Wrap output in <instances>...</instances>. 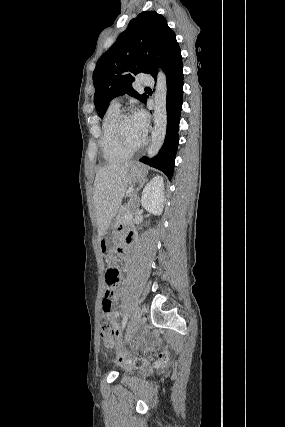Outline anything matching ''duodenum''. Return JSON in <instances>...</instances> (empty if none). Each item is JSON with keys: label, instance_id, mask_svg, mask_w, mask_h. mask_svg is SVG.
<instances>
[{"label": "duodenum", "instance_id": "duodenum-1", "mask_svg": "<svg viewBox=\"0 0 285 427\" xmlns=\"http://www.w3.org/2000/svg\"><path fill=\"white\" fill-rule=\"evenodd\" d=\"M129 249H130L129 246L125 245V244L122 245V247H121V250H122L123 253L127 252Z\"/></svg>", "mask_w": 285, "mask_h": 427}]
</instances>
